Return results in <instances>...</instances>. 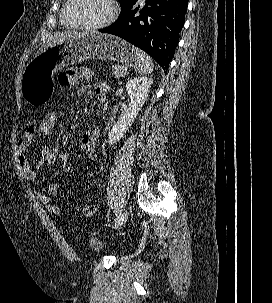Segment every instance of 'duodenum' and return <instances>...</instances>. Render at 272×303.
I'll return each instance as SVG.
<instances>
[{"mask_svg": "<svg viewBox=\"0 0 272 303\" xmlns=\"http://www.w3.org/2000/svg\"><path fill=\"white\" fill-rule=\"evenodd\" d=\"M96 97H97V100H98L100 103H102V102L105 101V96H104L102 93H98V94L96 95Z\"/></svg>", "mask_w": 272, "mask_h": 303, "instance_id": "410a0bca", "label": "duodenum"}]
</instances>
